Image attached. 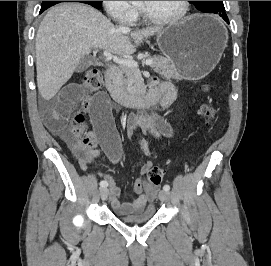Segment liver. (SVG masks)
I'll list each match as a JSON object with an SVG mask.
<instances>
[{"instance_id": "1", "label": "liver", "mask_w": 271, "mask_h": 266, "mask_svg": "<svg viewBox=\"0 0 271 266\" xmlns=\"http://www.w3.org/2000/svg\"><path fill=\"white\" fill-rule=\"evenodd\" d=\"M163 29L121 31L95 8L80 3H63L51 8L36 36L37 85L45 100L53 98L71 78L76 62L92 49L115 55H131L143 40Z\"/></svg>"}]
</instances>
